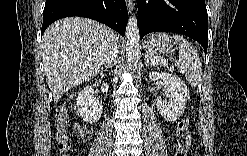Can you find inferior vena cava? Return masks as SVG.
I'll return each mask as SVG.
<instances>
[{
    "label": "inferior vena cava",
    "instance_id": "1",
    "mask_svg": "<svg viewBox=\"0 0 247 156\" xmlns=\"http://www.w3.org/2000/svg\"><path fill=\"white\" fill-rule=\"evenodd\" d=\"M118 42L116 39H113L108 45L105 52V63L108 65L109 68L112 67V65L116 61V57L118 55Z\"/></svg>",
    "mask_w": 247,
    "mask_h": 156
}]
</instances>
